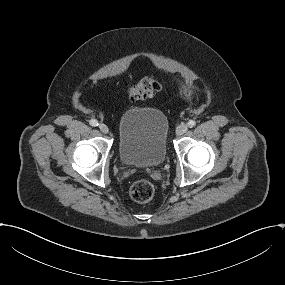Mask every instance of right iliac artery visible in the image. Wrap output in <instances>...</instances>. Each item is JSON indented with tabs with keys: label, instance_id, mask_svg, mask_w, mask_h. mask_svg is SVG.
Instances as JSON below:
<instances>
[{
	"label": "right iliac artery",
	"instance_id": "obj_1",
	"mask_svg": "<svg viewBox=\"0 0 285 285\" xmlns=\"http://www.w3.org/2000/svg\"><path fill=\"white\" fill-rule=\"evenodd\" d=\"M89 123H90L91 126H94V127H95V126H98V121L95 120V119L90 120Z\"/></svg>",
	"mask_w": 285,
	"mask_h": 285
}]
</instances>
